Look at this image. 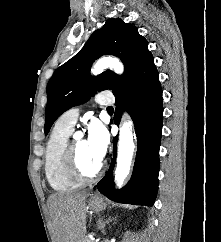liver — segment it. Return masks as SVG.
Returning <instances> with one entry per match:
<instances>
[{
	"instance_id": "liver-1",
	"label": "liver",
	"mask_w": 221,
	"mask_h": 242,
	"mask_svg": "<svg viewBox=\"0 0 221 242\" xmlns=\"http://www.w3.org/2000/svg\"><path fill=\"white\" fill-rule=\"evenodd\" d=\"M88 192L55 193L48 199L53 242H83Z\"/></svg>"
}]
</instances>
